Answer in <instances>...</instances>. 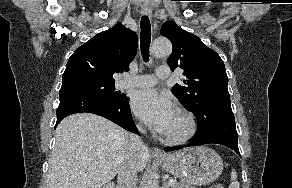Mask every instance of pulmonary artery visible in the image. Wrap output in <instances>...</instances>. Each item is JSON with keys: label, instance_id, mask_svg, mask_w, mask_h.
<instances>
[{"label": "pulmonary artery", "instance_id": "e3ab8cb5", "mask_svg": "<svg viewBox=\"0 0 292 188\" xmlns=\"http://www.w3.org/2000/svg\"><path fill=\"white\" fill-rule=\"evenodd\" d=\"M170 77V69L167 66H160L155 75H138L133 76L126 74L118 83L119 88L125 89L130 87L147 88L156 84L158 79L164 80Z\"/></svg>", "mask_w": 292, "mask_h": 188}]
</instances>
